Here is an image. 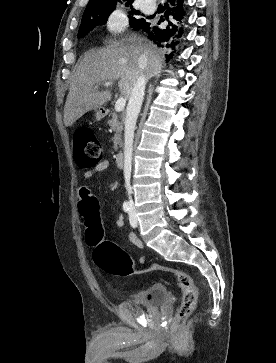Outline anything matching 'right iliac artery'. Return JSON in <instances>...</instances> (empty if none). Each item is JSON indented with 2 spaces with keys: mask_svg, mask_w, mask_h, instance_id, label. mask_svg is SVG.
I'll list each match as a JSON object with an SVG mask.
<instances>
[{
  "mask_svg": "<svg viewBox=\"0 0 276 363\" xmlns=\"http://www.w3.org/2000/svg\"><path fill=\"white\" fill-rule=\"evenodd\" d=\"M130 209H131L130 203L128 201H125L123 203V210L128 213V212H130Z\"/></svg>",
  "mask_w": 276,
  "mask_h": 363,
  "instance_id": "right-iliac-artery-1",
  "label": "right iliac artery"
}]
</instances>
